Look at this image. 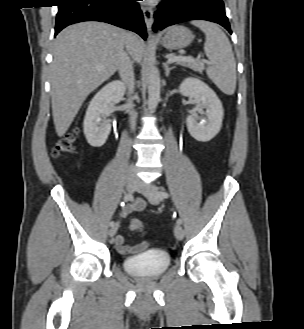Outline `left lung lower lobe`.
<instances>
[{
    "mask_svg": "<svg viewBox=\"0 0 304 329\" xmlns=\"http://www.w3.org/2000/svg\"><path fill=\"white\" fill-rule=\"evenodd\" d=\"M159 6L154 14V31L188 20H208L232 34L222 0H164Z\"/></svg>",
    "mask_w": 304,
    "mask_h": 329,
    "instance_id": "1",
    "label": "left lung lower lobe"
}]
</instances>
